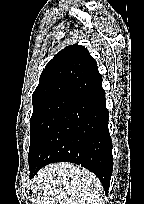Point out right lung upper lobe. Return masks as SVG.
Listing matches in <instances>:
<instances>
[{"label": "right lung upper lobe", "instance_id": "right-lung-upper-lobe-1", "mask_svg": "<svg viewBox=\"0 0 144 204\" xmlns=\"http://www.w3.org/2000/svg\"><path fill=\"white\" fill-rule=\"evenodd\" d=\"M100 84L102 76L88 50L81 45H70L45 66L32 95V103L34 105L59 95L76 97Z\"/></svg>", "mask_w": 144, "mask_h": 204}]
</instances>
